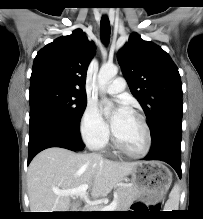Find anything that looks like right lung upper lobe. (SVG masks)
Segmentation results:
<instances>
[{"label": "right lung upper lobe", "mask_w": 203, "mask_h": 219, "mask_svg": "<svg viewBox=\"0 0 203 219\" xmlns=\"http://www.w3.org/2000/svg\"><path fill=\"white\" fill-rule=\"evenodd\" d=\"M94 53V44L80 29L57 38L35 57L30 85L54 83L85 94L87 69Z\"/></svg>", "instance_id": "obj_1"}]
</instances>
